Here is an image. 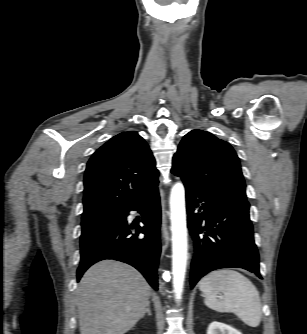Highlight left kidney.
Wrapping results in <instances>:
<instances>
[{
	"label": "left kidney",
	"instance_id": "5707ae66",
	"mask_svg": "<svg viewBox=\"0 0 307 334\" xmlns=\"http://www.w3.org/2000/svg\"><path fill=\"white\" fill-rule=\"evenodd\" d=\"M207 334H242V333L230 327L229 325L214 321L210 323V325L208 326Z\"/></svg>",
	"mask_w": 307,
	"mask_h": 334
}]
</instances>
